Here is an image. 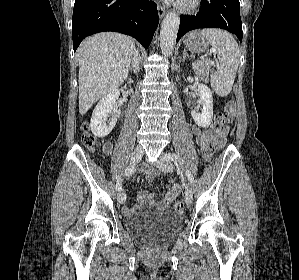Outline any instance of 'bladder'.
<instances>
[{
  "label": "bladder",
  "mask_w": 299,
  "mask_h": 280,
  "mask_svg": "<svg viewBox=\"0 0 299 280\" xmlns=\"http://www.w3.org/2000/svg\"><path fill=\"white\" fill-rule=\"evenodd\" d=\"M181 224V216L167 208L141 210L126 222L127 229L134 237L151 246L169 243Z\"/></svg>",
  "instance_id": "31cf9c89"
}]
</instances>
